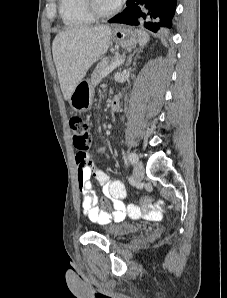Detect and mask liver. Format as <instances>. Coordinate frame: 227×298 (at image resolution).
I'll return each instance as SVG.
<instances>
[{
    "label": "liver",
    "instance_id": "obj_1",
    "mask_svg": "<svg viewBox=\"0 0 227 298\" xmlns=\"http://www.w3.org/2000/svg\"><path fill=\"white\" fill-rule=\"evenodd\" d=\"M112 30L109 26L76 27L56 35L53 60L64 99L69 100L90 67L106 53Z\"/></svg>",
    "mask_w": 227,
    "mask_h": 298
}]
</instances>
